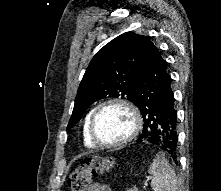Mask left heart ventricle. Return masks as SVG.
<instances>
[{
    "mask_svg": "<svg viewBox=\"0 0 221 191\" xmlns=\"http://www.w3.org/2000/svg\"><path fill=\"white\" fill-rule=\"evenodd\" d=\"M131 127L130 114L122 107L112 106L99 113L95 123V132L100 141L114 143L125 138Z\"/></svg>",
    "mask_w": 221,
    "mask_h": 191,
    "instance_id": "obj_1",
    "label": "left heart ventricle"
}]
</instances>
